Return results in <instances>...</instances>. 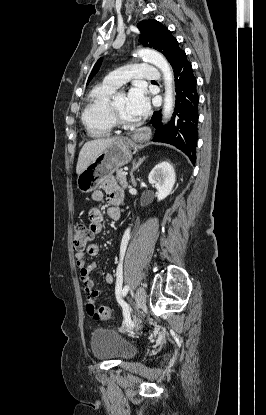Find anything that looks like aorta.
I'll use <instances>...</instances> for the list:
<instances>
[{
  "mask_svg": "<svg viewBox=\"0 0 266 415\" xmlns=\"http://www.w3.org/2000/svg\"><path fill=\"white\" fill-rule=\"evenodd\" d=\"M137 55L142 57L145 61L155 65L163 74L165 94L163 105V118L169 119L173 113L174 100V76L172 68L167 60L157 51L150 49H141L137 51Z\"/></svg>",
  "mask_w": 266,
  "mask_h": 415,
  "instance_id": "obj_1",
  "label": "aorta"
}]
</instances>
